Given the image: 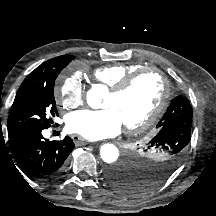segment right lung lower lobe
Segmentation results:
<instances>
[{"instance_id": "right-lung-lower-lobe-1", "label": "right lung lower lobe", "mask_w": 216, "mask_h": 216, "mask_svg": "<svg viewBox=\"0 0 216 216\" xmlns=\"http://www.w3.org/2000/svg\"><path fill=\"white\" fill-rule=\"evenodd\" d=\"M43 129H28L8 135L11 153L21 169L29 175L46 180L58 175L74 149L73 140L66 136L60 141L44 139Z\"/></svg>"}]
</instances>
